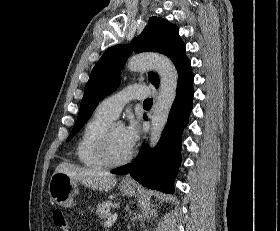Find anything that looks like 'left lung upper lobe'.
Listing matches in <instances>:
<instances>
[{
  "instance_id": "1",
  "label": "left lung upper lobe",
  "mask_w": 280,
  "mask_h": 231,
  "mask_svg": "<svg viewBox=\"0 0 280 231\" xmlns=\"http://www.w3.org/2000/svg\"><path fill=\"white\" fill-rule=\"evenodd\" d=\"M132 50L166 55L176 66L178 77L190 65L178 28L165 19L151 17L148 25L130 45L119 44L108 48L96 63L84 90L77 122L67 141L88 121L98 103L120 85V70ZM149 80L155 86L160 82L154 72L149 73Z\"/></svg>"
}]
</instances>
